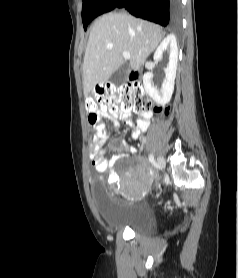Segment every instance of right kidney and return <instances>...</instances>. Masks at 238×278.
Returning a JSON list of instances; mask_svg holds the SVG:
<instances>
[{"label":"right kidney","instance_id":"ca27d5eb","mask_svg":"<svg viewBox=\"0 0 238 278\" xmlns=\"http://www.w3.org/2000/svg\"><path fill=\"white\" fill-rule=\"evenodd\" d=\"M168 48L170 50L169 63L165 69V79L162 83L161 88L158 89L157 86H155L152 82V72L145 73L143 76V84L145 91L157 104L160 105L167 104L170 101L174 91V83L178 61V47L176 38L173 35L167 36L160 43V45L154 53V60H160L162 58L163 52Z\"/></svg>","mask_w":238,"mask_h":278}]
</instances>
